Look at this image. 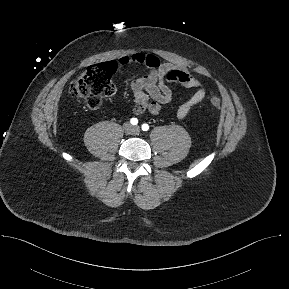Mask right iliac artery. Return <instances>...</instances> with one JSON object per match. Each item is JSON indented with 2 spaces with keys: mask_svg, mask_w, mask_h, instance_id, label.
Here are the masks:
<instances>
[{
  "mask_svg": "<svg viewBox=\"0 0 289 289\" xmlns=\"http://www.w3.org/2000/svg\"><path fill=\"white\" fill-rule=\"evenodd\" d=\"M130 123L132 125H137L138 124V119L137 118H131Z\"/></svg>",
  "mask_w": 289,
  "mask_h": 289,
  "instance_id": "1",
  "label": "right iliac artery"
}]
</instances>
